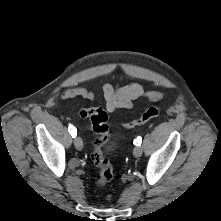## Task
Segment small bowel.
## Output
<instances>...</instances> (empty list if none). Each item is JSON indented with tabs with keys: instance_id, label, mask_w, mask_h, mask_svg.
<instances>
[{
	"instance_id": "1",
	"label": "small bowel",
	"mask_w": 221,
	"mask_h": 221,
	"mask_svg": "<svg viewBox=\"0 0 221 221\" xmlns=\"http://www.w3.org/2000/svg\"><path fill=\"white\" fill-rule=\"evenodd\" d=\"M103 94L106 104V109L113 113L120 108H132L133 101L146 97L151 101H157L161 98V94L157 91H144L137 82H130L126 85L105 84L103 86ZM75 97H83L92 99L94 92L84 86L70 87L63 91V99H72Z\"/></svg>"
}]
</instances>
